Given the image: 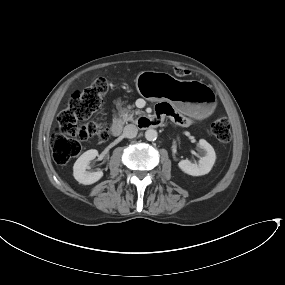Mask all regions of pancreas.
I'll return each instance as SVG.
<instances>
[{
  "label": "pancreas",
  "mask_w": 285,
  "mask_h": 285,
  "mask_svg": "<svg viewBox=\"0 0 285 285\" xmlns=\"http://www.w3.org/2000/svg\"><path fill=\"white\" fill-rule=\"evenodd\" d=\"M133 107L134 106L121 107L119 104L117 105L118 115L122 123H127L129 121L136 122L137 120L134 119V115L143 114V111L141 110H132Z\"/></svg>",
  "instance_id": "obj_1"
}]
</instances>
